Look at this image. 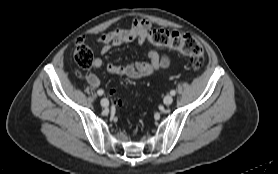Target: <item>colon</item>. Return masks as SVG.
<instances>
[{
    "mask_svg": "<svg viewBox=\"0 0 278 174\" xmlns=\"http://www.w3.org/2000/svg\"><path fill=\"white\" fill-rule=\"evenodd\" d=\"M148 41L157 46L168 47L190 58L195 69H199L204 63V49L201 43L193 36L176 31L153 29L149 32ZM73 58L81 69H89L92 66L93 54L83 39H78L73 47Z\"/></svg>",
    "mask_w": 278,
    "mask_h": 174,
    "instance_id": "colon-1",
    "label": "colon"
}]
</instances>
